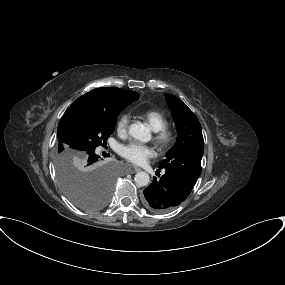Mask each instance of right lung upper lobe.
<instances>
[{"instance_id": "cb5924a9", "label": "right lung upper lobe", "mask_w": 285, "mask_h": 285, "mask_svg": "<svg viewBox=\"0 0 285 285\" xmlns=\"http://www.w3.org/2000/svg\"><path fill=\"white\" fill-rule=\"evenodd\" d=\"M137 92L126 91L119 88H97L79 97L70 108L76 106H90L110 111L113 101L117 98L133 95Z\"/></svg>"}]
</instances>
